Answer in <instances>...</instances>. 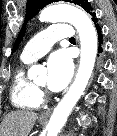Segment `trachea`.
<instances>
[{"instance_id":"3493384b","label":"trachea","mask_w":117,"mask_h":136,"mask_svg":"<svg viewBox=\"0 0 117 136\" xmlns=\"http://www.w3.org/2000/svg\"><path fill=\"white\" fill-rule=\"evenodd\" d=\"M69 40H70V41H75V38L71 37Z\"/></svg>"}]
</instances>
